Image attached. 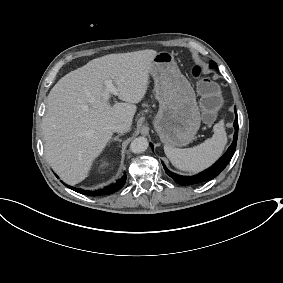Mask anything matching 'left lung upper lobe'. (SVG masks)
<instances>
[{
	"label": "left lung upper lobe",
	"instance_id": "1",
	"mask_svg": "<svg viewBox=\"0 0 283 283\" xmlns=\"http://www.w3.org/2000/svg\"><path fill=\"white\" fill-rule=\"evenodd\" d=\"M210 67H212V68H217V65H216L215 62L211 61V62H210Z\"/></svg>",
	"mask_w": 283,
	"mask_h": 283
}]
</instances>
